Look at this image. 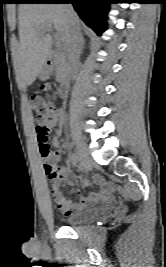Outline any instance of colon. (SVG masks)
Wrapping results in <instances>:
<instances>
[{"label": "colon", "instance_id": "obj_1", "mask_svg": "<svg viewBox=\"0 0 166 267\" xmlns=\"http://www.w3.org/2000/svg\"><path fill=\"white\" fill-rule=\"evenodd\" d=\"M50 91L49 86L42 87L39 93L31 97V106L36 121V135L39 144V150L43 158L47 161L44 164V169L50 179H55L58 176V170L54 164L48 161L52 154L47 143L48 140V122L58 115V107L52 100H47L41 96V93Z\"/></svg>", "mask_w": 166, "mask_h": 267}]
</instances>
